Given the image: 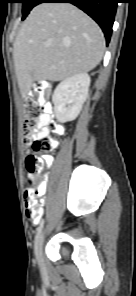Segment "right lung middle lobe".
I'll use <instances>...</instances> for the list:
<instances>
[{
  "mask_svg": "<svg viewBox=\"0 0 136 296\" xmlns=\"http://www.w3.org/2000/svg\"><path fill=\"white\" fill-rule=\"evenodd\" d=\"M20 2L23 3L22 20H24L29 12L32 10V8L40 4L41 0H20Z\"/></svg>",
  "mask_w": 136,
  "mask_h": 296,
  "instance_id": "obj_1",
  "label": "right lung middle lobe"
}]
</instances>
